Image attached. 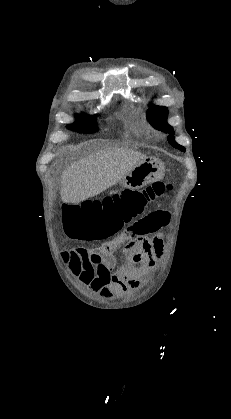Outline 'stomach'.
I'll list each match as a JSON object with an SVG mask.
<instances>
[{"label": "stomach", "mask_w": 231, "mask_h": 419, "mask_svg": "<svg viewBox=\"0 0 231 419\" xmlns=\"http://www.w3.org/2000/svg\"><path fill=\"white\" fill-rule=\"evenodd\" d=\"M164 175V164L155 158L146 157L140 160L120 180V185L124 188L140 189L152 182L161 180Z\"/></svg>", "instance_id": "obj_1"}]
</instances>
